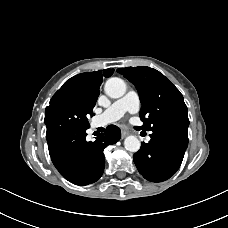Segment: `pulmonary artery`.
I'll return each instance as SVG.
<instances>
[{
  "mask_svg": "<svg viewBox=\"0 0 228 228\" xmlns=\"http://www.w3.org/2000/svg\"><path fill=\"white\" fill-rule=\"evenodd\" d=\"M140 99L136 91H129L122 98L116 100L96 119L98 126H104L108 123L120 119L125 113L135 114L139 111ZM148 140L150 137L147 138Z\"/></svg>",
  "mask_w": 228,
  "mask_h": 228,
  "instance_id": "obj_1",
  "label": "pulmonary artery"
}]
</instances>
